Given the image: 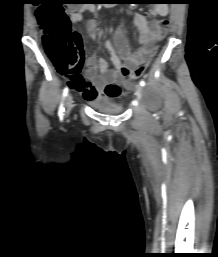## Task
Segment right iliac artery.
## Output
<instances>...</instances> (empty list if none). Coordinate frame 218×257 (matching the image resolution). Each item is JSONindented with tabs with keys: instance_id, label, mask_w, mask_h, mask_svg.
Returning a JSON list of instances; mask_svg holds the SVG:
<instances>
[{
	"instance_id": "obj_1",
	"label": "right iliac artery",
	"mask_w": 218,
	"mask_h": 257,
	"mask_svg": "<svg viewBox=\"0 0 218 257\" xmlns=\"http://www.w3.org/2000/svg\"><path fill=\"white\" fill-rule=\"evenodd\" d=\"M67 94H68V87H65L63 90V98L66 97ZM58 116H59L60 120H63V116H64L63 102L60 104Z\"/></svg>"
}]
</instances>
